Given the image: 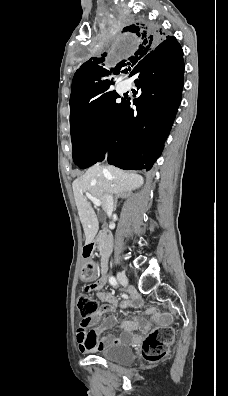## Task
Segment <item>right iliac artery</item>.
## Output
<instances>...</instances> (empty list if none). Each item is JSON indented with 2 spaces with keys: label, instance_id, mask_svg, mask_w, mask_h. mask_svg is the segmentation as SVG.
I'll list each match as a JSON object with an SVG mask.
<instances>
[{
  "label": "right iliac artery",
  "instance_id": "obj_1",
  "mask_svg": "<svg viewBox=\"0 0 228 396\" xmlns=\"http://www.w3.org/2000/svg\"><path fill=\"white\" fill-rule=\"evenodd\" d=\"M109 282H110V284H111L112 286H116V285H117V280H116V278L113 277V276H111V277L109 278Z\"/></svg>",
  "mask_w": 228,
  "mask_h": 396
}]
</instances>
